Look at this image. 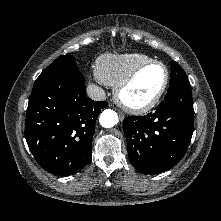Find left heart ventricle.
Masks as SVG:
<instances>
[{"instance_id":"left-heart-ventricle-1","label":"left heart ventricle","mask_w":221,"mask_h":221,"mask_svg":"<svg viewBox=\"0 0 221 221\" xmlns=\"http://www.w3.org/2000/svg\"><path fill=\"white\" fill-rule=\"evenodd\" d=\"M164 76L165 73L161 66L154 65L145 69L135 82L124 91V98L137 104L148 101L160 89Z\"/></svg>"}]
</instances>
